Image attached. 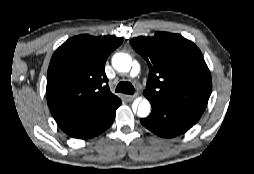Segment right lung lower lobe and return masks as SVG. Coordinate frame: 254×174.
<instances>
[{
	"label": "right lung lower lobe",
	"instance_id": "98d812e1",
	"mask_svg": "<svg viewBox=\"0 0 254 174\" xmlns=\"http://www.w3.org/2000/svg\"><path fill=\"white\" fill-rule=\"evenodd\" d=\"M121 100L83 105L57 120L58 126L69 136L88 139L104 132L113 123Z\"/></svg>",
	"mask_w": 254,
	"mask_h": 174
}]
</instances>
